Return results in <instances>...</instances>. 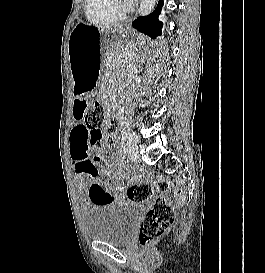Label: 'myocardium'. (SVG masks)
<instances>
[{
	"label": "myocardium",
	"mask_w": 265,
	"mask_h": 273,
	"mask_svg": "<svg viewBox=\"0 0 265 273\" xmlns=\"http://www.w3.org/2000/svg\"><path fill=\"white\" fill-rule=\"evenodd\" d=\"M110 2L120 17L126 16L132 10V5L125 0H110Z\"/></svg>",
	"instance_id": "1"
}]
</instances>
